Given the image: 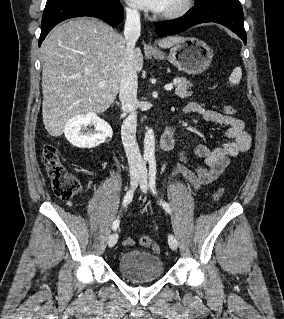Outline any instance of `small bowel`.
Instances as JSON below:
<instances>
[{
	"label": "small bowel",
	"mask_w": 284,
	"mask_h": 319,
	"mask_svg": "<svg viewBox=\"0 0 284 319\" xmlns=\"http://www.w3.org/2000/svg\"><path fill=\"white\" fill-rule=\"evenodd\" d=\"M184 111L186 114H199L207 122L227 127V141L220 146L211 148L206 144H198L180 153V163L175 165L172 175L183 177L197 190L216 181L229 166L231 158L250 149L251 135L244 130V123L238 117L205 109L194 102L189 103ZM192 155L201 159V163L194 161Z\"/></svg>",
	"instance_id": "obj_1"
}]
</instances>
